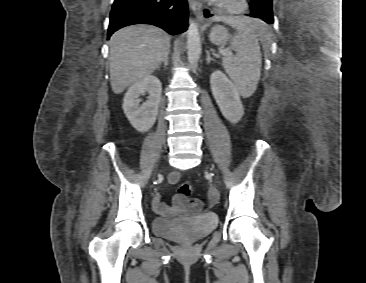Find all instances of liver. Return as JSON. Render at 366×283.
<instances>
[{"mask_svg":"<svg viewBox=\"0 0 366 283\" xmlns=\"http://www.w3.org/2000/svg\"><path fill=\"white\" fill-rule=\"evenodd\" d=\"M171 37L162 29L138 24L116 31L110 41V83L122 93L131 84L150 75L170 49Z\"/></svg>","mask_w":366,"mask_h":283,"instance_id":"liver-1","label":"liver"}]
</instances>
